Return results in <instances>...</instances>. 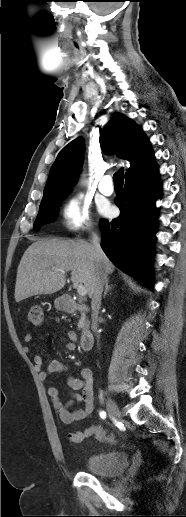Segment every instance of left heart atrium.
I'll use <instances>...</instances> for the list:
<instances>
[{
    "mask_svg": "<svg viewBox=\"0 0 186 517\" xmlns=\"http://www.w3.org/2000/svg\"><path fill=\"white\" fill-rule=\"evenodd\" d=\"M100 211H101L102 214L108 216V215L111 214L112 208H111V206L109 204L104 203V204H102L100 206Z\"/></svg>",
    "mask_w": 186,
    "mask_h": 517,
    "instance_id": "1",
    "label": "left heart atrium"
}]
</instances>
